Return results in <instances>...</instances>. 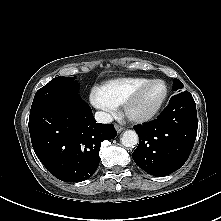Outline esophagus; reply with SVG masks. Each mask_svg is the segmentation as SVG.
I'll use <instances>...</instances> for the list:
<instances>
[{
	"label": "esophagus",
	"mask_w": 221,
	"mask_h": 221,
	"mask_svg": "<svg viewBox=\"0 0 221 221\" xmlns=\"http://www.w3.org/2000/svg\"><path fill=\"white\" fill-rule=\"evenodd\" d=\"M115 129H116V131L118 132V133H120V132H122L125 128L124 127H122V126H120V125H115Z\"/></svg>",
	"instance_id": "esophagus-1"
}]
</instances>
